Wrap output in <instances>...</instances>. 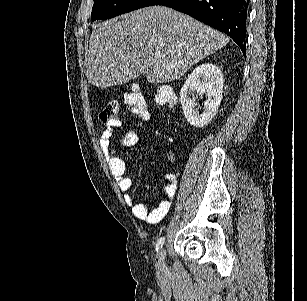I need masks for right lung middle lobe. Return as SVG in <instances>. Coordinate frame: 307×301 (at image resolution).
<instances>
[{"instance_id":"right-lung-middle-lobe-1","label":"right lung middle lobe","mask_w":307,"mask_h":301,"mask_svg":"<svg viewBox=\"0 0 307 301\" xmlns=\"http://www.w3.org/2000/svg\"><path fill=\"white\" fill-rule=\"evenodd\" d=\"M151 0H94L92 21L109 19L145 7Z\"/></svg>"}]
</instances>
